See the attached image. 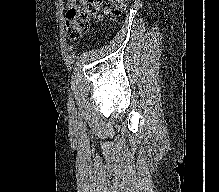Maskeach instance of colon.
I'll use <instances>...</instances> for the list:
<instances>
[{"label":"colon","instance_id":"1","mask_svg":"<svg viewBox=\"0 0 219 192\" xmlns=\"http://www.w3.org/2000/svg\"><path fill=\"white\" fill-rule=\"evenodd\" d=\"M129 0H72L67 10L65 23L68 34L75 39L86 33L92 18L114 17L128 4Z\"/></svg>","mask_w":219,"mask_h":192}]
</instances>
